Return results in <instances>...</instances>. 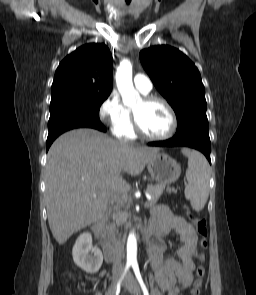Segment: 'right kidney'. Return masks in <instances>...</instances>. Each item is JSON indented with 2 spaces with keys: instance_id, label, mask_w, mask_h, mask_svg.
Returning <instances> with one entry per match:
<instances>
[{
  "instance_id": "right-kidney-1",
  "label": "right kidney",
  "mask_w": 256,
  "mask_h": 295,
  "mask_svg": "<svg viewBox=\"0 0 256 295\" xmlns=\"http://www.w3.org/2000/svg\"><path fill=\"white\" fill-rule=\"evenodd\" d=\"M72 256L74 263L89 274L98 272L103 262L102 252L93 247L92 236L88 232L82 233L77 238L73 246Z\"/></svg>"
}]
</instances>
